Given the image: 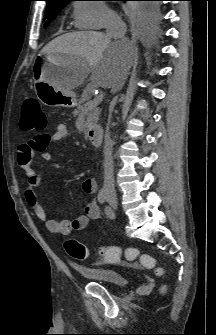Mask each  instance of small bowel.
I'll list each match as a JSON object with an SVG mask.
<instances>
[{
    "label": "small bowel",
    "instance_id": "c3829d8e",
    "mask_svg": "<svg viewBox=\"0 0 216 335\" xmlns=\"http://www.w3.org/2000/svg\"><path fill=\"white\" fill-rule=\"evenodd\" d=\"M69 138V131L65 124L58 123L56 130L51 135H46L45 146L55 143H61L62 148L65 149ZM44 161L49 163V167L55 170L61 168V164L52 162V155L46 150L39 151ZM34 149L31 144H23L18 150V162L20 167L24 170L27 180V188L25 191V198L29 206L32 208L36 217L43 221L47 229L58 235H68L71 231L84 230L90 221L98 220L100 218V208L95 200L89 201L85 206V214L77 216L73 220H55L50 219L43 205L41 204L37 187L39 186L43 170H37L32 167V158ZM82 190L85 193L92 194L96 190V181L93 178H86L82 183ZM100 263H103L100 259Z\"/></svg>",
    "mask_w": 216,
    "mask_h": 335
}]
</instances>
